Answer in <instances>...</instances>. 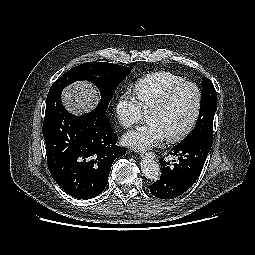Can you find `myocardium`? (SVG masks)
Instances as JSON below:
<instances>
[{
    "mask_svg": "<svg viewBox=\"0 0 255 255\" xmlns=\"http://www.w3.org/2000/svg\"><path fill=\"white\" fill-rule=\"evenodd\" d=\"M186 86L193 87L196 90L197 102H196L195 111L188 125L180 133L176 135H172V136H166L167 141L170 143H177L184 140L194 129L202 109V92L199 86L190 81H183L181 83H178L172 86L171 88H169L148 111V115H149L152 112L163 109L168 104V102L170 101L174 93H176L178 90Z\"/></svg>",
    "mask_w": 255,
    "mask_h": 255,
    "instance_id": "myocardium-1",
    "label": "myocardium"
}]
</instances>
